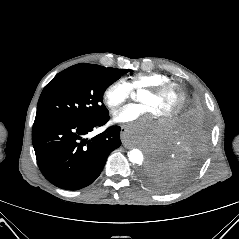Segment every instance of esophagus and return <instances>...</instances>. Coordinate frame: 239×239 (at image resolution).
Segmentation results:
<instances>
[{
  "label": "esophagus",
  "mask_w": 239,
  "mask_h": 239,
  "mask_svg": "<svg viewBox=\"0 0 239 239\" xmlns=\"http://www.w3.org/2000/svg\"><path fill=\"white\" fill-rule=\"evenodd\" d=\"M127 131V128L125 126H122L121 127V138H122V141H123V145L126 147V148H131V145L128 144V142L125 140V133Z\"/></svg>",
  "instance_id": "34e87169"
}]
</instances>
